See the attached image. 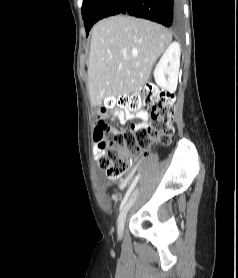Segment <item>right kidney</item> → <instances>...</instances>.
<instances>
[{"label":"right kidney","instance_id":"ca27d5eb","mask_svg":"<svg viewBox=\"0 0 238 278\" xmlns=\"http://www.w3.org/2000/svg\"><path fill=\"white\" fill-rule=\"evenodd\" d=\"M180 45L173 42L163 53L154 70L156 84L165 91L174 92L180 67Z\"/></svg>","mask_w":238,"mask_h":278}]
</instances>
